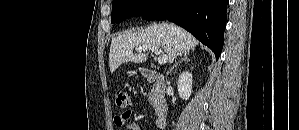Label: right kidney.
Wrapping results in <instances>:
<instances>
[{
	"mask_svg": "<svg viewBox=\"0 0 299 130\" xmlns=\"http://www.w3.org/2000/svg\"><path fill=\"white\" fill-rule=\"evenodd\" d=\"M178 92L182 99L188 100L192 93V74L185 71L178 78Z\"/></svg>",
	"mask_w": 299,
	"mask_h": 130,
	"instance_id": "right-kidney-1",
	"label": "right kidney"
}]
</instances>
